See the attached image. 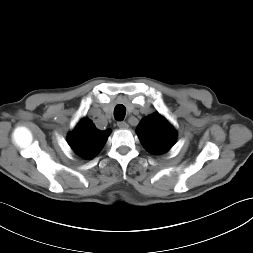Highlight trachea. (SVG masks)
I'll return each mask as SVG.
<instances>
[{"label": "trachea", "instance_id": "trachea-1", "mask_svg": "<svg viewBox=\"0 0 253 253\" xmlns=\"http://www.w3.org/2000/svg\"><path fill=\"white\" fill-rule=\"evenodd\" d=\"M126 109L124 105L119 104L114 109V117L117 121H122L125 118Z\"/></svg>", "mask_w": 253, "mask_h": 253}]
</instances>
